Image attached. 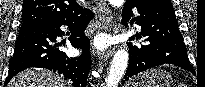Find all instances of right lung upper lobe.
Returning <instances> with one entry per match:
<instances>
[{"instance_id":"cb5924a9","label":"right lung upper lobe","mask_w":205,"mask_h":87,"mask_svg":"<svg viewBox=\"0 0 205 87\" xmlns=\"http://www.w3.org/2000/svg\"><path fill=\"white\" fill-rule=\"evenodd\" d=\"M82 10L76 0H23L20 31L65 21Z\"/></svg>"}]
</instances>
